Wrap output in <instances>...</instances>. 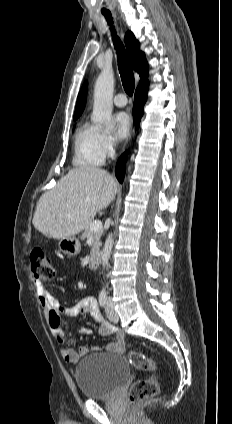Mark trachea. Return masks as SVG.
Wrapping results in <instances>:
<instances>
[{
  "instance_id": "3493384b",
  "label": "trachea",
  "mask_w": 232,
  "mask_h": 424,
  "mask_svg": "<svg viewBox=\"0 0 232 424\" xmlns=\"http://www.w3.org/2000/svg\"><path fill=\"white\" fill-rule=\"evenodd\" d=\"M103 15L105 16L109 24H111L112 23L111 13L103 12ZM113 42L115 45V49L117 51L118 66H119V72L122 79V84H123L125 92L131 96L134 91L135 80H134V74H133L132 68L128 60V56L122 42L114 33H113Z\"/></svg>"
}]
</instances>
